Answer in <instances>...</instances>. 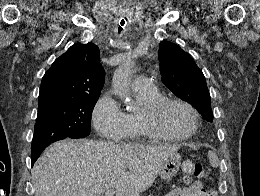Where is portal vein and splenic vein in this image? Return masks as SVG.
Listing matches in <instances>:
<instances>
[{
	"instance_id": "obj_1",
	"label": "portal vein and splenic vein",
	"mask_w": 260,
	"mask_h": 196,
	"mask_svg": "<svg viewBox=\"0 0 260 196\" xmlns=\"http://www.w3.org/2000/svg\"><path fill=\"white\" fill-rule=\"evenodd\" d=\"M105 196H115V192L114 190H106V192H104Z\"/></svg>"
}]
</instances>
